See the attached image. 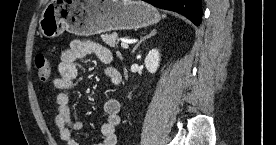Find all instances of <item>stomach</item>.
Returning <instances> with one entry per match:
<instances>
[{
	"mask_svg": "<svg viewBox=\"0 0 276 145\" xmlns=\"http://www.w3.org/2000/svg\"><path fill=\"white\" fill-rule=\"evenodd\" d=\"M160 20L156 8L133 0H56L42 11L39 29L46 38L64 31L91 36L112 30L138 29Z\"/></svg>",
	"mask_w": 276,
	"mask_h": 145,
	"instance_id": "1",
	"label": "stomach"
}]
</instances>
